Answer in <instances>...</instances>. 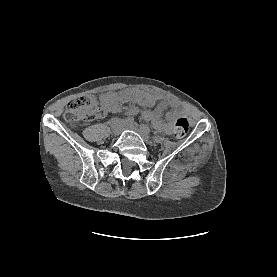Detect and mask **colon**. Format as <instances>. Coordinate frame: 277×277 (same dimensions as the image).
<instances>
[{
	"mask_svg": "<svg viewBox=\"0 0 277 277\" xmlns=\"http://www.w3.org/2000/svg\"><path fill=\"white\" fill-rule=\"evenodd\" d=\"M101 115V109L96 96L84 95L71 101L65 111V120L71 124L76 125L80 121L93 120ZM189 130V123L186 118H179L176 120L173 127V136L176 138H183Z\"/></svg>",
	"mask_w": 277,
	"mask_h": 277,
	"instance_id": "colon-1",
	"label": "colon"
}]
</instances>
